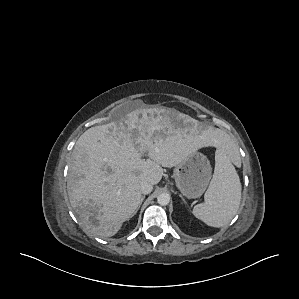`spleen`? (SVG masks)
<instances>
[{"instance_id": "1", "label": "spleen", "mask_w": 299, "mask_h": 299, "mask_svg": "<svg viewBox=\"0 0 299 299\" xmlns=\"http://www.w3.org/2000/svg\"><path fill=\"white\" fill-rule=\"evenodd\" d=\"M241 201V183L229 151L219 145L215 153L213 178L204 202L193 209L196 218L211 227H222L235 216Z\"/></svg>"}]
</instances>
